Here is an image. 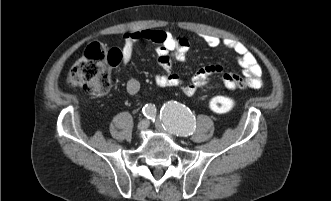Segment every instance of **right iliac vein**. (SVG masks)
<instances>
[{"label": "right iliac vein", "instance_id": "1", "mask_svg": "<svg viewBox=\"0 0 331 201\" xmlns=\"http://www.w3.org/2000/svg\"><path fill=\"white\" fill-rule=\"evenodd\" d=\"M149 127V121L148 120H142L138 124V130L144 131Z\"/></svg>", "mask_w": 331, "mask_h": 201}]
</instances>
